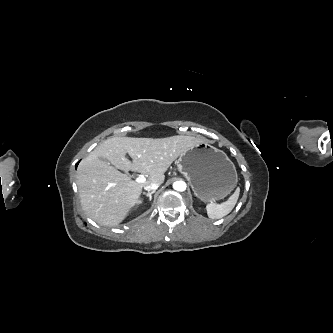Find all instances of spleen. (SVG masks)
Masks as SVG:
<instances>
[{
	"label": "spleen",
	"instance_id": "1",
	"mask_svg": "<svg viewBox=\"0 0 333 333\" xmlns=\"http://www.w3.org/2000/svg\"><path fill=\"white\" fill-rule=\"evenodd\" d=\"M240 189L237 188L235 192L229 197V199L221 204H216L210 202L206 205L207 215L211 219H219L228 215L235 204L237 203L239 197Z\"/></svg>",
	"mask_w": 333,
	"mask_h": 333
}]
</instances>
